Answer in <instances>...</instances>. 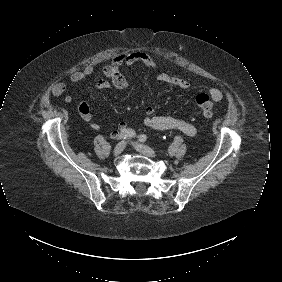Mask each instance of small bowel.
<instances>
[{
    "instance_id": "small-bowel-1",
    "label": "small bowel",
    "mask_w": 282,
    "mask_h": 282,
    "mask_svg": "<svg viewBox=\"0 0 282 282\" xmlns=\"http://www.w3.org/2000/svg\"><path fill=\"white\" fill-rule=\"evenodd\" d=\"M123 66H143L152 70H158V63L148 54L136 51L128 54H118L113 60L104 67L105 79H100L95 84L97 91H102L114 86L122 89L127 86V81L121 74L120 69ZM94 72L93 65H87L80 71L72 73L69 77L71 83H78L83 81ZM156 80L168 86H173L182 90H187L190 87V82L178 76L170 75L167 73H159L156 76ZM67 86L63 82L56 83L51 89V93L55 97H59L65 94ZM210 97L214 102H219L222 99V92L217 88H211L209 91ZM64 100L66 103L73 101L72 95H65ZM78 112L81 118L88 122L91 128L99 130L100 124L97 123L91 113L89 104L86 101H81L78 105ZM143 123L146 127L156 130H177L184 133L187 136L194 137L197 134V128L182 119L172 116L156 115L153 107H148L145 110V117ZM127 128V124L122 122L118 128L111 132V137L115 138L120 135Z\"/></svg>"
}]
</instances>
